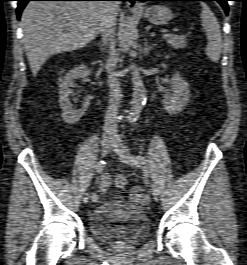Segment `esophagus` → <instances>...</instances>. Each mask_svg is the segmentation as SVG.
<instances>
[{"label": "esophagus", "mask_w": 247, "mask_h": 265, "mask_svg": "<svg viewBox=\"0 0 247 265\" xmlns=\"http://www.w3.org/2000/svg\"><path fill=\"white\" fill-rule=\"evenodd\" d=\"M127 8L133 12L140 10V5L137 0H129L127 3Z\"/></svg>", "instance_id": "1"}]
</instances>
